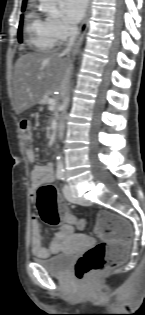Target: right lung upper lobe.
I'll list each match as a JSON object with an SVG mask.
<instances>
[{
    "label": "right lung upper lobe",
    "instance_id": "1",
    "mask_svg": "<svg viewBox=\"0 0 145 315\" xmlns=\"http://www.w3.org/2000/svg\"><path fill=\"white\" fill-rule=\"evenodd\" d=\"M26 1H27V0H23L22 7L26 5Z\"/></svg>",
    "mask_w": 145,
    "mask_h": 315
}]
</instances>
